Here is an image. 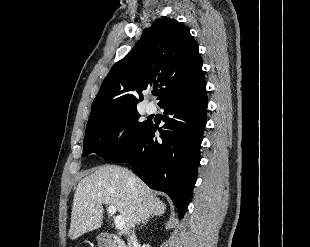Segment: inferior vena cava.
<instances>
[{
  "label": "inferior vena cava",
  "instance_id": "obj_1",
  "mask_svg": "<svg viewBox=\"0 0 310 247\" xmlns=\"http://www.w3.org/2000/svg\"><path fill=\"white\" fill-rule=\"evenodd\" d=\"M130 243H134L137 241L135 234L133 233L132 236H130Z\"/></svg>",
  "mask_w": 310,
  "mask_h": 247
}]
</instances>
